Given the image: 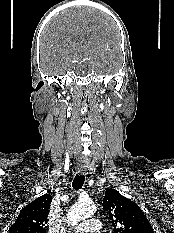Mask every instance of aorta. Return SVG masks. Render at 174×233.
Returning <instances> with one entry per match:
<instances>
[{"mask_svg": "<svg viewBox=\"0 0 174 233\" xmlns=\"http://www.w3.org/2000/svg\"><path fill=\"white\" fill-rule=\"evenodd\" d=\"M96 212L92 202H77L68 211L67 222L76 225L79 221L91 217Z\"/></svg>", "mask_w": 174, "mask_h": 233, "instance_id": "aorta-1", "label": "aorta"}]
</instances>
